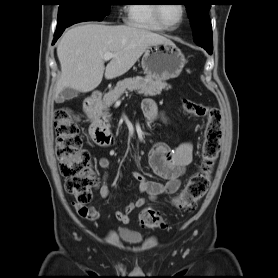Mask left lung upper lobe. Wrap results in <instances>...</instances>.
I'll return each mask as SVG.
<instances>
[{
    "label": "left lung upper lobe",
    "instance_id": "left-lung-upper-lobe-1",
    "mask_svg": "<svg viewBox=\"0 0 278 278\" xmlns=\"http://www.w3.org/2000/svg\"><path fill=\"white\" fill-rule=\"evenodd\" d=\"M185 2L194 42L203 48H213L212 26L208 16L211 0H185Z\"/></svg>",
    "mask_w": 278,
    "mask_h": 278
}]
</instances>
